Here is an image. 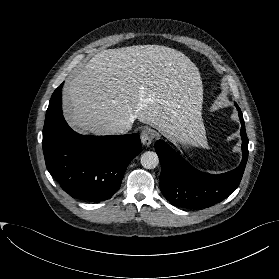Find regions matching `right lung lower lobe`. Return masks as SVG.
Segmentation results:
<instances>
[{
	"label": "right lung lower lobe",
	"mask_w": 279,
	"mask_h": 279,
	"mask_svg": "<svg viewBox=\"0 0 279 279\" xmlns=\"http://www.w3.org/2000/svg\"><path fill=\"white\" fill-rule=\"evenodd\" d=\"M61 84L53 93L43 128V153L49 173L71 197L87 202L111 198L129 163L141 152L138 134L81 135L62 115Z\"/></svg>",
	"instance_id": "1"
}]
</instances>
